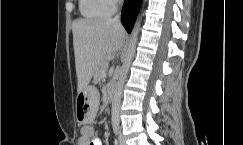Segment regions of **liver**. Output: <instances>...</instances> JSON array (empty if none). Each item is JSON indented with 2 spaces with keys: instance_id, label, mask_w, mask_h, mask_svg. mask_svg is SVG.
Instances as JSON below:
<instances>
[{
  "instance_id": "1",
  "label": "liver",
  "mask_w": 243,
  "mask_h": 145,
  "mask_svg": "<svg viewBox=\"0 0 243 145\" xmlns=\"http://www.w3.org/2000/svg\"><path fill=\"white\" fill-rule=\"evenodd\" d=\"M72 33L80 93L90 83L100 61L121 49L126 33L119 21L109 18L76 19Z\"/></svg>"
}]
</instances>
